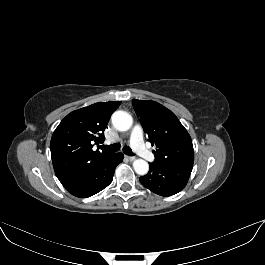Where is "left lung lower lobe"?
Returning a JSON list of instances; mask_svg holds the SVG:
<instances>
[{
	"label": "left lung lower lobe",
	"mask_w": 265,
	"mask_h": 265,
	"mask_svg": "<svg viewBox=\"0 0 265 265\" xmlns=\"http://www.w3.org/2000/svg\"><path fill=\"white\" fill-rule=\"evenodd\" d=\"M149 165L148 174L140 177V182L161 196H171L180 192L186 186L193 168L192 165Z\"/></svg>",
	"instance_id": "1"
}]
</instances>
